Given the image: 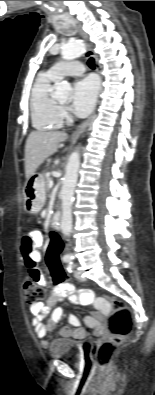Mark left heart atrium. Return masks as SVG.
Returning <instances> with one entry per match:
<instances>
[{"label": "left heart atrium", "mask_w": 155, "mask_h": 395, "mask_svg": "<svg viewBox=\"0 0 155 395\" xmlns=\"http://www.w3.org/2000/svg\"><path fill=\"white\" fill-rule=\"evenodd\" d=\"M97 93L98 82L94 77L88 76L78 80L72 93V111L79 117L88 115L95 104Z\"/></svg>", "instance_id": "1"}]
</instances>
